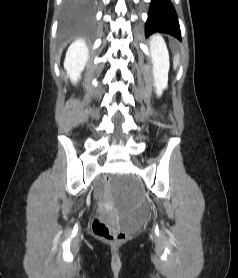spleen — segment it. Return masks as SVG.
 <instances>
[{"mask_svg": "<svg viewBox=\"0 0 238 278\" xmlns=\"http://www.w3.org/2000/svg\"><path fill=\"white\" fill-rule=\"evenodd\" d=\"M179 61H180V60H179V55L175 56V58H174V67H175V68L178 66Z\"/></svg>", "mask_w": 238, "mask_h": 278, "instance_id": "obj_1", "label": "spleen"}]
</instances>
